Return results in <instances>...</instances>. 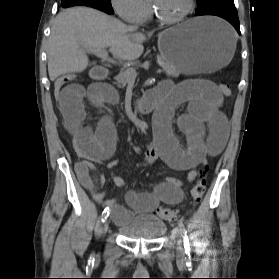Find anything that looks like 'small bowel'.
<instances>
[{"label":"small bowel","instance_id":"1","mask_svg":"<svg viewBox=\"0 0 279 279\" xmlns=\"http://www.w3.org/2000/svg\"><path fill=\"white\" fill-rule=\"evenodd\" d=\"M149 95L158 100L159 105L153 116L154 145L143 155L145 164L162 160L173 169L189 171L188 180L194 181L197 167L205 164L208 156L220 154L229 136L227 118L220 110L223 100L220 89L208 80H187L177 86L164 81ZM86 99L94 105L104 106L115 104L118 95L111 86L96 83L87 88L80 84L66 85L58 97L64 126L72 136L77 155L82 158L75 165L80 184L96 201L112 210L118 224L128 222L133 216L132 211L147 214L161 202L179 204L183 200V182L174 177H166L152 192H128L126 200L132 210L120 206L116 199L104 200V192L99 189L105 178L103 175L92 177L91 173L95 163L108 161L110 171L116 167L118 161L112 159L116 130L108 116L100 120L95 130L90 128L86 123ZM181 104H187V112L177 117V125L187 139L186 147L180 145L171 128L175 110ZM111 178L119 187L126 185L113 173Z\"/></svg>","mask_w":279,"mask_h":279}]
</instances>
